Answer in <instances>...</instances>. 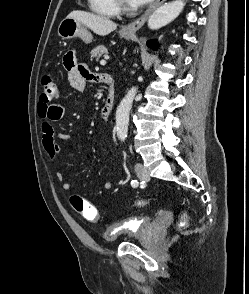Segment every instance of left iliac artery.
<instances>
[{
	"mask_svg": "<svg viewBox=\"0 0 249 294\" xmlns=\"http://www.w3.org/2000/svg\"><path fill=\"white\" fill-rule=\"evenodd\" d=\"M131 185H132L133 187L138 186V182H137V180H132V181H131Z\"/></svg>",
	"mask_w": 249,
	"mask_h": 294,
	"instance_id": "44dca946",
	"label": "left iliac artery"
}]
</instances>
